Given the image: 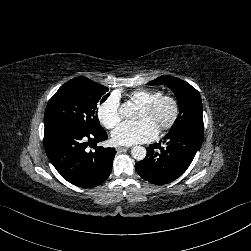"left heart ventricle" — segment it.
I'll use <instances>...</instances> for the list:
<instances>
[{"label": "left heart ventricle", "instance_id": "b2bd125f", "mask_svg": "<svg viewBox=\"0 0 251 251\" xmlns=\"http://www.w3.org/2000/svg\"><path fill=\"white\" fill-rule=\"evenodd\" d=\"M173 111H174L173 105L170 102H164L159 106L157 110L153 112H148L144 109H141L137 119L142 120L145 118H150L159 127L161 124L168 122L172 118Z\"/></svg>", "mask_w": 251, "mask_h": 251}]
</instances>
